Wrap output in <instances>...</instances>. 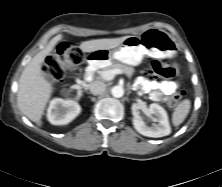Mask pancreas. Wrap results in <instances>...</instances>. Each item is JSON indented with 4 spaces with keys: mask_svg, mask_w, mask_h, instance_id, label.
<instances>
[{
    "mask_svg": "<svg viewBox=\"0 0 222 187\" xmlns=\"http://www.w3.org/2000/svg\"><path fill=\"white\" fill-rule=\"evenodd\" d=\"M113 69H119L123 73H125L128 77H131L134 73V69L132 67H128L126 65L120 64V63H111L110 65L104 67L99 73L101 74L104 71H109Z\"/></svg>",
    "mask_w": 222,
    "mask_h": 187,
    "instance_id": "pancreas-1",
    "label": "pancreas"
}]
</instances>
